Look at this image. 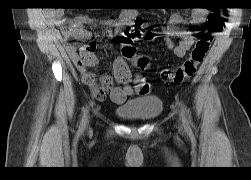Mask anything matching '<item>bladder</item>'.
<instances>
[{
    "mask_svg": "<svg viewBox=\"0 0 251 180\" xmlns=\"http://www.w3.org/2000/svg\"><path fill=\"white\" fill-rule=\"evenodd\" d=\"M163 110V101L156 95L127 101L117 106L116 115L126 121L146 122L158 117Z\"/></svg>",
    "mask_w": 251,
    "mask_h": 180,
    "instance_id": "31cf9c89",
    "label": "bladder"
}]
</instances>
